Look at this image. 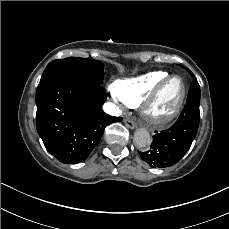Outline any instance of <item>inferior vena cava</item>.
<instances>
[{
  "label": "inferior vena cava",
  "instance_id": "1",
  "mask_svg": "<svg viewBox=\"0 0 229 229\" xmlns=\"http://www.w3.org/2000/svg\"><path fill=\"white\" fill-rule=\"evenodd\" d=\"M103 110L109 115L118 116L119 114L118 108L115 107V105L112 103H105L103 106Z\"/></svg>",
  "mask_w": 229,
  "mask_h": 229
}]
</instances>
